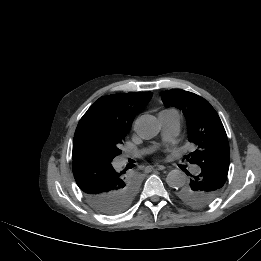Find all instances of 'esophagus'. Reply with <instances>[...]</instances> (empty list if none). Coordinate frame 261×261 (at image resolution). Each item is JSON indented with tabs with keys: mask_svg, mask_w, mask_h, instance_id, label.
Here are the masks:
<instances>
[{
	"mask_svg": "<svg viewBox=\"0 0 261 261\" xmlns=\"http://www.w3.org/2000/svg\"><path fill=\"white\" fill-rule=\"evenodd\" d=\"M164 169H165V166H163V165H154L148 170V172H150V171H161V170H164Z\"/></svg>",
	"mask_w": 261,
	"mask_h": 261,
	"instance_id": "34e87169",
	"label": "esophagus"
}]
</instances>
